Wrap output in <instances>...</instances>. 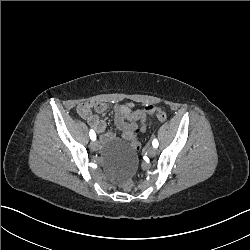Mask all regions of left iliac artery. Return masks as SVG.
<instances>
[{
	"instance_id": "44dca946",
	"label": "left iliac artery",
	"mask_w": 250,
	"mask_h": 250,
	"mask_svg": "<svg viewBox=\"0 0 250 250\" xmlns=\"http://www.w3.org/2000/svg\"><path fill=\"white\" fill-rule=\"evenodd\" d=\"M152 145H153L154 148L158 147L159 143H158L157 139L153 140Z\"/></svg>"
}]
</instances>
